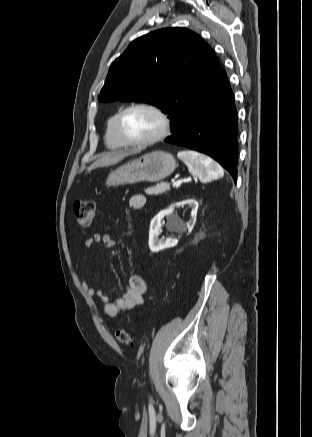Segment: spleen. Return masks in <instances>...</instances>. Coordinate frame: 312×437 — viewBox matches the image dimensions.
Here are the masks:
<instances>
[{"label": "spleen", "mask_w": 312, "mask_h": 437, "mask_svg": "<svg viewBox=\"0 0 312 437\" xmlns=\"http://www.w3.org/2000/svg\"><path fill=\"white\" fill-rule=\"evenodd\" d=\"M178 157L186 164L189 172L200 181L208 182L223 176L222 167L210 157L193 150L181 151Z\"/></svg>", "instance_id": "obj_1"}]
</instances>
